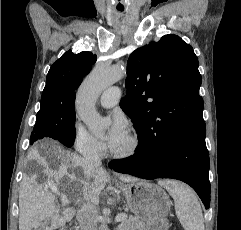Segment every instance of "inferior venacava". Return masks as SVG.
I'll use <instances>...</instances> for the list:
<instances>
[{"instance_id":"1","label":"inferior vena cava","mask_w":241,"mask_h":230,"mask_svg":"<svg viewBox=\"0 0 241 230\" xmlns=\"http://www.w3.org/2000/svg\"><path fill=\"white\" fill-rule=\"evenodd\" d=\"M101 165L100 156L97 153L84 154L82 159V168L86 178L89 180L96 167ZM81 230H97L96 229V207L86 200L76 215Z\"/></svg>"}]
</instances>
